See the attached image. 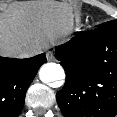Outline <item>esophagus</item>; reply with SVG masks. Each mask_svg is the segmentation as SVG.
Listing matches in <instances>:
<instances>
[{"mask_svg":"<svg viewBox=\"0 0 117 117\" xmlns=\"http://www.w3.org/2000/svg\"><path fill=\"white\" fill-rule=\"evenodd\" d=\"M46 58H47L48 61H54L55 60V56L51 51H48L46 53Z\"/></svg>","mask_w":117,"mask_h":117,"instance_id":"obj_1","label":"esophagus"}]
</instances>
